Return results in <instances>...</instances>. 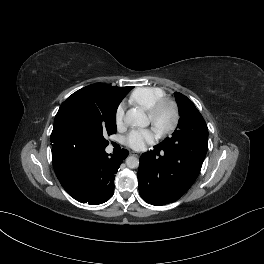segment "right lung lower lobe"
I'll return each instance as SVG.
<instances>
[{
    "label": "right lung lower lobe",
    "instance_id": "right-lung-lower-lobe-1",
    "mask_svg": "<svg viewBox=\"0 0 264 264\" xmlns=\"http://www.w3.org/2000/svg\"><path fill=\"white\" fill-rule=\"evenodd\" d=\"M127 156L126 149L111 157L105 149L78 150L52 162L58 180L74 199L98 205L112 197L115 174Z\"/></svg>",
    "mask_w": 264,
    "mask_h": 264
}]
</instances>
